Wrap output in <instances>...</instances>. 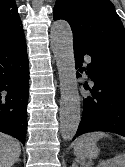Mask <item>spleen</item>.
Returning a JSON list of instances; mask_svg holds the SVG:
<instances>
[{"label":"spleen","mask_w":125,"mask_h":167,"mask_svg":"<svg viewBox=\"0 0 125 167\" xmlns=\"http://www.w3.org/2000/svg\"><path fill=\"white\" fill-rule=\"evenodd\" d=\"M103 137H108V134L93 132L80 136L73 144L76 158L80 160L82 164H85L87 158H96L99 154V149L96 143ZM98 167H125V153L116 155L106 161H100Z\"/></svg>","instance_id":"obj_1"}]
</instances>
